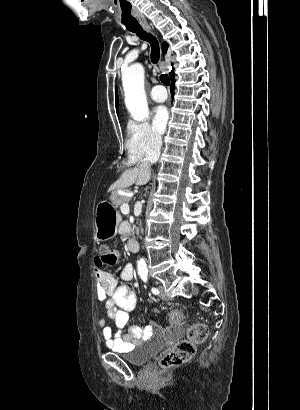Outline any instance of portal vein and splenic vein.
<instances>
[{
    "label": "portal vein and splenic vein",
    "instance_id": "obj_1",
    "mask_svg": "<svg viewBox=\"0 0 300 410\" xmlns=\"http://www.w3.org/2000/svg\"><path fill=\"white\" fill-rule=\"evenodd\" d=\"M121 211H122V212H125V213H129V205H128V203H124V204L121 206Z\"/></svg>",
    "mask_w": 300,
    "mask_h": 410
}]
</instances>
